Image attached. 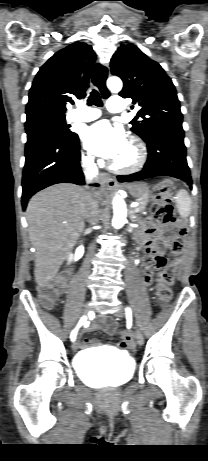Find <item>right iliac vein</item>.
Returning a JSON list of instances; mask_svg holds the SVG:
<instances>
[{
    "label": "right iliac vein",
    "mask_w": 208,
    "mask_h": 461,
    "mask_svg": "<svg viewBox=\"0 0 208 461\" xmlns=\"http://www.w3.org/2000/svg\"><path fill=\"white\" fill-rule=\"evenodd\" d=\"M90 310H91V305H90V303H86L85 306H84V309H83V314H84V315H88L89 312H90ZM78 348H79V342H78V340H75V341L73 342V344H72V350H73L74 352H76V351L78 350Z\"/></svg>",
    "instance_id": "obj_1"
}]
</instances>
